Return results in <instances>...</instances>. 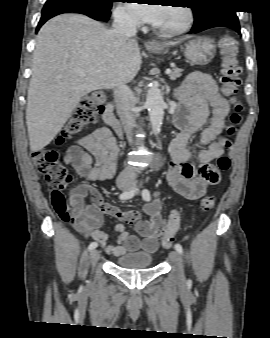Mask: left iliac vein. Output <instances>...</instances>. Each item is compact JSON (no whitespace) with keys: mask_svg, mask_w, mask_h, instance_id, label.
I'll return each mask as SVG.
<instances>
[{"mask_svg":"<svg viewBox=\"0 0 270 338\" xmlns=\"http://www.w3.org/2000/svg\"><path fill=\"white\" fill-rule=\"evenodd\" d=\"M132 187H135V185H132ZM169 258L174 263L177 271V276L180 281L184 280V270H183V264L181 261V257L179 253L176 250H172L169 252Z\"/></svg>","mask_w":270,"mask_h":338,"instance_id":"4c4485c4","label":"left iliac vein"}]
</instances>
